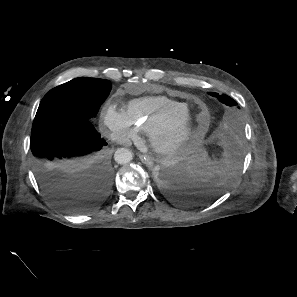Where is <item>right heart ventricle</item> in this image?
<instances>
[{"instance_id":"right-heart-ventricle-1","label":"right heart ventricle","mask_w":297,"mask_h":297,"mask_svg":"<svg viewBox=\"0 0 297 297\" xmlns=\"http://www.w3.org/2000/svg\"><path fill=\"white\" fill-rule=\"evenodd\" d=\"M187 108L185 102L165 96H145L132 100L126 112L140 131L147 132L159 120L176 115Z\"/></svg>"}]
</instances>
